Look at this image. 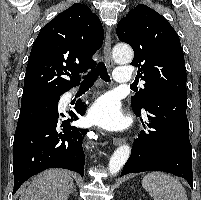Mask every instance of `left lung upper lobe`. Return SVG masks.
I'll list each match as a JSON object with an SVG mask.
<instances>
[{
	"label": "left lung upper lobe",
	"mask_w": 201,
	"mask_h": 200,
	"mask_svg": "<svg viewBox=\"0 0 201 200\" xmlns=\"http://www.w3.org/2000/svg\"><path fill=\"white\" fill-rule=\"evenodd\" d=\"M118 38L134 50L131 65L145 81L131 105L140 112L156 95H187L186 68L179 37L169 22L150 7L139 4L122 18L117 26Z\"/></svg>",
	"instance_id": "obj_1"
}]
</instances>
